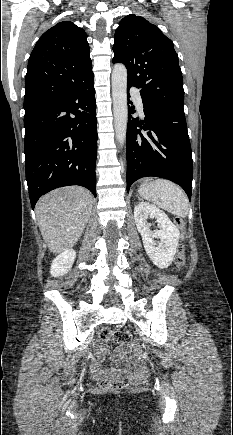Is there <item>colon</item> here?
<instances>
[{"label": "colon", "instance_id": "5ec220e1", "mask_svg": "<svg viewBox=\"0 0 233 435\" xmlns=\"http://www.w3.org/2000/svg\"><path fill=\"white\" fill-rule=\"evenodd\" d=\"M175 223L180 228L184 227V221L181 218L177 217ZM185 262V247L184 245H179L175 256V265L178 269H181L184 267ZM98 336L100 340L105 342L112 341L114 343H125L128 345L136 344L129 333L123 331L114 332L107 327L101 328L98 332ZM100 387L104 392L114 393L124 390L127 387V384L124 380L105 378L101 381Z\"/></svg>", "mask_w": 233, "mask_h": 435}]
</instances>
